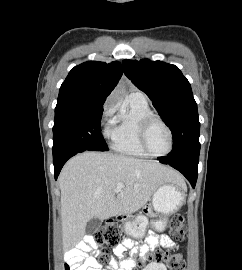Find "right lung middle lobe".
Returning a JSON list of instances; mask_svg holds the SVG:
<instances>
[{"label": "right lung middle lobe", "mask_w": 242, "mask_h": 270, "mask_svg": "<svg viewBox=\"0 0 242 270\" xmlns=\"http://www.w3.org/2000/svg\"><path fill=\"white\" fill-rule=\"evenodd\" d=\"M103 106L56 107L53 126V160L85 150L107 151L100 124Z\"/></svg>", "instance_id": "1"}]
</instances>
